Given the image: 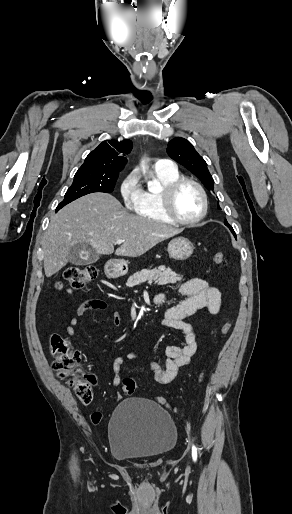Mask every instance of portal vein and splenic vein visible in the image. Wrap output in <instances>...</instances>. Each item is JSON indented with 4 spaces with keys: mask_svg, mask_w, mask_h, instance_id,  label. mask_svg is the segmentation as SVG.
<instances>
[{
    "mask_svg": "<svg viewBox=\"0 0 292 514\" xmlns=\"http://www.w3.org/2000/svg\"><path fill=\"white\" fill-rule=\"evenodd\" d=\"M122 242H125V240H117L116 244H122Z\"/></svg>",
    "mask_w": 292,
    "mask_h": 514,
    "instance_id": "portal-vein-and-splenic-vein-1",
    "label": "portal vein and splenic vein"
}]
</instances>
